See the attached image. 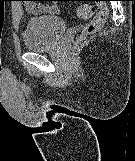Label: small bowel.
Returning <instances> with one entry per match:
<instances>
[{
  "label": "small bowel",
  "mask_w": 135,
  "mask_h": 161,
  "mask_svg": "<svg viewBox=\"0 0 135 161\" xmlns=\"http://www.w3.org/2000/svg\"><path fill=\"white\" fill-rule=\"evenodd\" d=\"M23 3L26 9L32 13H43V12L56 11V7L54 5L48 6L45 8H39V7H35V5L33 4V1H23Z\"/></svg>",
  "instance_id": "1"
}]
</instances>
